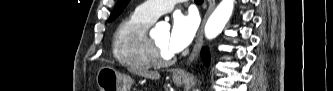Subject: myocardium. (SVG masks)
I'll use <instances>...</instances> for the list:
<instances>
[{"label": "myocardium", "instance_id": "f54148a6", "mask_svg": "<svg viewBox=\"0 0 333 91\" xmlns=\"http://www.w3.org/2000/svg\"><path fill=\"white\" fill-rule=\"evenodd\" d=\"M146 42L148 46L149 58L153 65L168 66L175 61V56L173 54H163L151 37L146 36Z\"/></svg>", "mask_w": 333, "mask_h": 91}]
</instances>
